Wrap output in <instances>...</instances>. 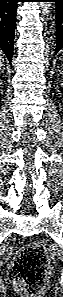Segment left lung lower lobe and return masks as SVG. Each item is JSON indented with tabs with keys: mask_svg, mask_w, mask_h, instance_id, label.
I'll return each instance as SVG.
<instances>
[{
	"mask_svg": "<svg viewBox=\"0 0 63 297\" xmlns=\"http://www.w3.org/2000/svg\"><path fill=\"white\" fill-rule=\"evenodd\" d=\"M56 2V48L55 53L63 49V0H48Z\"/></svg>",
	"mask_w": 63,
	"mask_h": 297,
	"instance_id": "0a47b994",
	"label": "left lung lower lobe"
}]
</instances>
